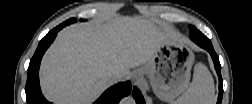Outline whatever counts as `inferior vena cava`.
Instances as JSON below:
<instances>
[{"label":"inferior vena cava","instance_id":"1","mask_svg":"<svg viewBox=\"0 0 252 104\" xmlns=\"http://www.w3.org/2000/svg\"><path fill=\"white\" fill-rule=\"evenodd\" d=\"M107 77L111 82L115 83L122 79V74L118 72H113V73H108Z\"/></svg>","mask_w":252,"mask_h":104}]
</instances>
